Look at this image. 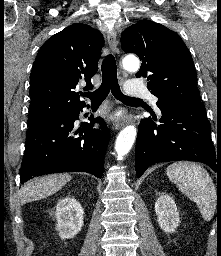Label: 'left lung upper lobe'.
I'll return each mask as SVG.
<instances>
[{
	"label": "left lung upper lobe",
	"mask_w": 221,
	"mask_h": 256,
	"mask_svg": "<svg viewBox=\"0 0 221 256\" xmlns=\"http://www.w3.org/2000/svg\"><path fill=\"white\" fill-rule=\"evenodd\" d=\"M121 44L126 53H135L142 60L136 77L147 78V88L158 97V106H203L191 54L177 33L141 20L122 32Z\"/></svg>",
	"instance_id": "5c2ea615"
}]
</instances>
